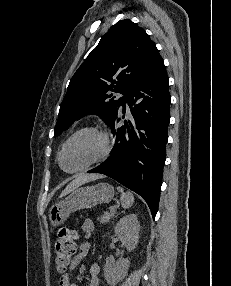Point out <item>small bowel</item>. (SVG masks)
<instances>
[{
	"mask_svg": "<svg viewBox=\"0 0 231 286\" xmlns=\"http://www.w3.org/2000/svg\"><path fill=\"white\" fill-rule=\"evenodd\" d=\"M82 232L84 233V236L86 240L82 241L80 244L78 253L73 258L70 270H74L82 261L83 258H85L90 250V243L87 239H89L94 231V223L91 219H85L82 222L81 225ZM99 272H100V266L97 262H94L90 266V281L88 286H99ZM82 277L78 276V280H81ZM59 286H78L77 283L72 282L70 279L69 273L63 274L59 279Z\"/></svg>",
	"mask_w": 231,
	"mask_h": 286,
	"instance_id": "1",
	"label": "small bowel"
}]
</instances>
